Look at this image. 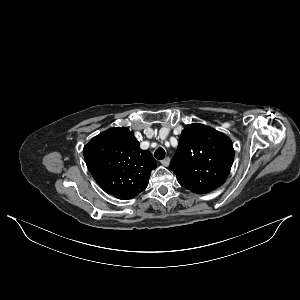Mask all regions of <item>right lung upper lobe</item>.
Wrapping results in <instances>:
<instances>
[{"mask_svg":"<svg viewBox=\"0 0 300 300\" xmlns=\"http://www.w3.org/2000/svg\"><path fill=\"white\" fill-rule=\"evenodd\" d=\"M86 165L97 184L118 199H131L148 185L157 167L149 151L141 150L129 129L111 128L84 147Z\"/></svg>","mask_w":300,"mask_h":300,"instance_id":"1","label":"right lung upper lobe"}]
</instances>
